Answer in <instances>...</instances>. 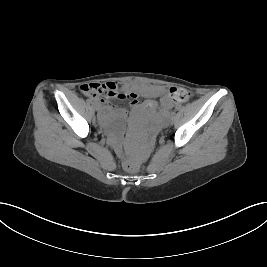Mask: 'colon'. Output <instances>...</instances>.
<instances>
[{"label": "colon", "mask_w": 267, "mask_h": 267, "mask_svg": "<svg viewBox=\"0 0 267 267\" xmlns=\"http://www.w3.org/2000/svg\"><path fill=\"white\" fill-rule=\"evenodd\" d=\"M86 89L81 92L90 97H102L105 99H120L123 97L122 94L115 87L107 86L106 84H98V83H89ZM173 99L177 102H186L188 101L192 94L188 90L184 88H174L171 92ZM124 167L128 171H135L138 168V164L131 163L126 161L124 163Z\"/></svg>", "instance_id": "colon-1"}]
</instances>
